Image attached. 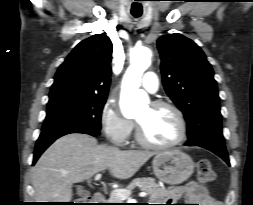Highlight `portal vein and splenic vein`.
<instances>
[{"instance_id": "portal-vein-and-splenic-vein-1", "label": "portal vein and splenic vein", "mask_w": 253, "mask_h": 205, "mask_svg": "<svg viewBox=\"0 0 253 205\" xmlns=\"http://www.w3.org/2000/svg\"><path fill=\"white\" fill-rule=\"evenodd\" d=\"M100 177H101V174H97L95 176V180H99ZM112 194L114 196H116L117 198H119L120 200H126V199H129V197L131 195V192L128 191V190H124V189H117V190H113ZM139 196L140 197H146L147 193L146 192H141V193H139Z\"/></svg>"}]
</instances>
